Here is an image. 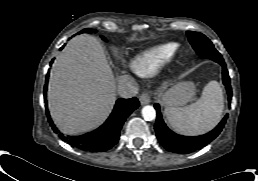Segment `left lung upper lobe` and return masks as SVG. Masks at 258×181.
Returning a JSON list of instances; mask_svg holds the SVG:
<instances>
[{"label":"left lung upper lobe","mask_w":258,"mask_h":181,"mask_svg":"<svg viewBox=\"0 0 258 181\" xmlns=\"http://www.w3.org/2000/svg\"><path fill=\"white\" fill-rule=\"evenodd\" d=\"M188 39L198 55L214 60L215 62H223L221 54L214 48L212 42L202 33L187 31Z\"/></svg>","instance_id":"left-lung-upper-lobe-1"}]
</instances>
